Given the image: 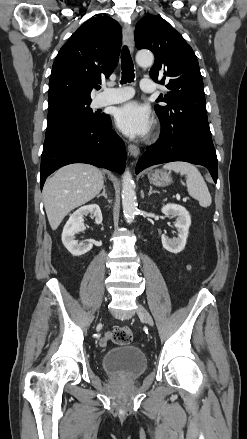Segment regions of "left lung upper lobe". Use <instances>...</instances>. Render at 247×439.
<instances>
[{
    "instance_id": "obj_1",
    "label": "left lung upper lobe",
    "mask_w": 247,
    "mask_h": 439,
    "mask_svg": "<svg viewBox=\"0 0 247 439\" xmlns=\"http://www.w3.org/2000/svg\"><path fill=\"white\" fill-rule=\"evenodd\" d=\"M138 49H149L155 56L151 78L166 84L155 112L162 130L183 131L212 139L205 106L204 85L195 53L184 38L160 16L143 17L136 25Z\"/></svg>"
}]
</instances>
